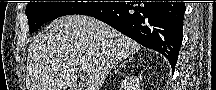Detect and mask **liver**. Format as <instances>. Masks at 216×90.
Listing matches in <instances>:
<instances>
[{"label":"liver","mask_w":216,"mask_h":90,"mask_svg":"<svg viewBox=\"0 0 216 90\" xmlns=\"http://www.w3.org/2000/svg\"><path fill=\"white\" fill-rule=\"evenodd\" d=\"M142 46L89 16H63L33 38L28 48L27 90H101L119 62ZM82 66L89 76L76 86Z\"/></svg>","instance_id":"1"}]
</instances>
